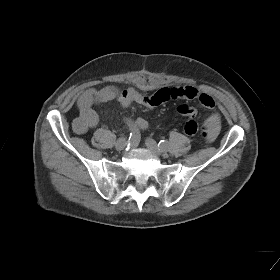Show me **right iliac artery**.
Returning a JSON list of instances; mask_svg holds the SVG:
<instances>
[{"instance_id":"1","label":"right iliac artery","mask_w":280,"mask_h":280,"mask_svg":"<svg viewBox=\"0 0 280 280\" xmlns=\"http://www.w3.org/2000/svg\"><path fill=\"white\" fill-rule=\"evenodd\" d=\"M127 124L129 126V129L131 130L129 139L127 141V149L129 148H135L138 146L140 139H141V134L139 129L136 127V125L131 121L127 120Z\"/></svg>"}]
</instances>
